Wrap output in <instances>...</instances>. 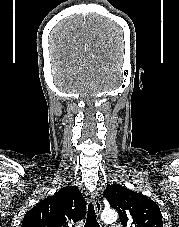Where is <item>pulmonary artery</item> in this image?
Wrapping results in <instances>:
<instances>
[{"label":"pulmonary artery","instance_id":"pulmonary-artery-1","mask_svg":"<svg viewBox=\"0 0 179 227\" xmlns=\"http://www.w3.org/2000/svg\"><path fill=\"white\" fill-rule=\"evenodd\" d=\"M110 227H121L119 224H112Z\"/></svg>","mask_w":179,"mask_h":227}]
</instances>
